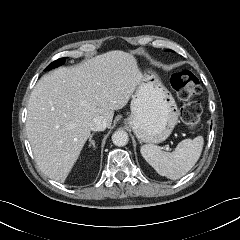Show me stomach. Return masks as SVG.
Here are the masks:
<instances>
[{"label": "stomach", "mask_w": 240, "mask_h": 240, "mask_svg": "<svg viewBox=\"0 0 240 240\" xmlns=\"http://www.w3.org/2000/svg\"><path fill=\"white\" fill-rule=\"evenodd\" d=\"M130 108L131 114L124 122L140 142L157 144L166 140L178 122L173 96L149 67L132 95Z\"/></svg>", "instance_id": "1"}]
</instances>
